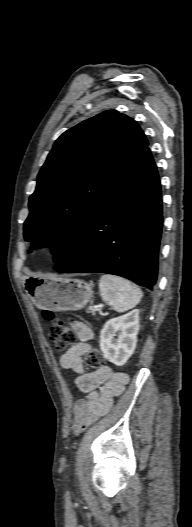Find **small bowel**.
<instances>
[{
    "mask_svg": "<svg viewBox=\"0 0 192 527\" xmlns=\"http://www.w3.org/2000/svg\"><path fill=\"white\" fill-rule=\"evenodd\" d=\"M72 327L79 342L66 350L59 362L63 369H70L77 374L75 385L86 394L73 406L72 431L77 434L110 410L114 398L124 391L128 376L123 372H114L107 366L95 372H86L83 356L90 350L88 341L93 333L81 322H74Z\"/></svg>",
    "mask_w": 192,
    "mask_h": 527,
    "instance_id": "1",
    "label": "small bowel"
}]
</instances>
